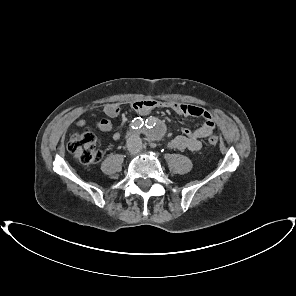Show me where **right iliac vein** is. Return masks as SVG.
<instances>
[{
    "mask_svg": "<svg viewBox=\"0 0 296 296\" xmlns=\"http://www.w3.org/2000/svg\"><path fill=\"white\" fill-rule=\"evenodd\" d=\"M129 152H132L131 148H128Z\"/></svg>",
    "mask_w": 296,
    "mask_h": 296,
    "instance_id": "right-iliac-vein-1",
    "label": "right iliac vein"
}]
</instances>
